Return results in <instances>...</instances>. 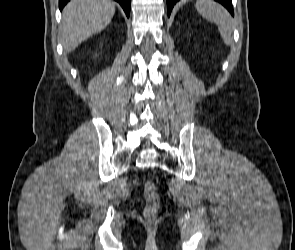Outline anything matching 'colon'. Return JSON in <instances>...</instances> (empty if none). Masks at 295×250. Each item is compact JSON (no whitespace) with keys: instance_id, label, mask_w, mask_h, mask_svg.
<instances>
[{"instance_id":"1","label":"colon","mask_w":295,"mask_h":250,"mask_svg":"<svg viewBox=\"0 0 295 250\" xmlns=\"http://www.w3.org/2000/svg\"><path fill=\"white\" fill-rule=\"evenodd\" d=\"M144 196L146 199L144 215L147 219H153L158 213L160 198L157 189L152 181H147L145 183Z\"/></svg>"}]
</instances>
